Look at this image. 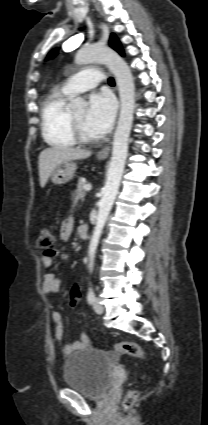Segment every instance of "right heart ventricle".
<instances>
[{
  "instance_id": "obj_1",
  "label": "right heart ventricle",
  "mask_w": 208,
  "mask_h": 425,
  "mask_svg": "<svg viewBox=\"0 0 208 425\" xmlns=\"http://www.w3.org/2000/svg\"><path fill=\"white\" fill-rule=\"evenodd\" d=\"M71 94L63 89L51 91L41 106V132L52 147H74L76 140L71 131L68 100Z\"/></svg>"
}]
</instances>
